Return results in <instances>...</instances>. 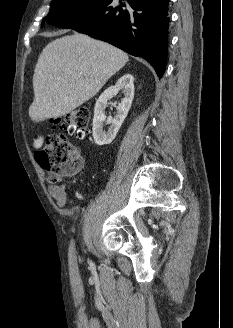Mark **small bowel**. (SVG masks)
I'll use <instances>...</instances> for the list:
<instances>
[{
    "instance_id": "small-bowel-1",
    "label": "small bowel",
    "mask_w": 233,
    "mask_h": 328,
    "mask_svg": "<svg viewBox=\"0 0 233 328\" xmlns=\"http://www.w3.org/2000/svg\"><path fill=\"white\" fill-rule=\"evenodd\" d=\"M41 142V139H37L34 143L35 147H39ZM49 193L51 197L57 202L59 207H64L67 204V197L63 188L52 186L49 188Z\"/></svg>"
}]
</instances>
